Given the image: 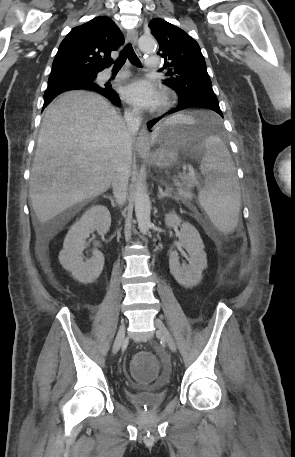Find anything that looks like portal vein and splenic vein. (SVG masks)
Returning a JSON list of instances; mask_svg holds the SVG:
<instances>
[{"label":"portal vein and splenic vein","mask_w":295,"mask_h":457,"mask_svg":"<svg viewBox=\"0 0 295 457\" xmlns=\"http://www.w3.org/2000/svg\"><path fill=\"white\" fill-rule=\"evenodd\" d=\"M187 177H188L191 181H193V182H195V183L197 182V177H196V175H195V171H194L193 168H189V172H188Z\"/></svg>","instance_id":"obj_1"}]
</instances>
